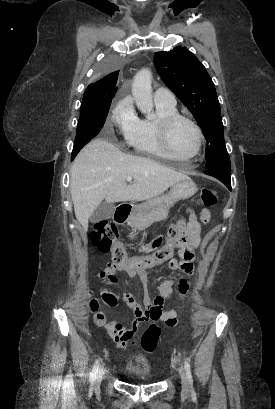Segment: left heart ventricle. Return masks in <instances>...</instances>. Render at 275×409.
Segmentation results:
<instances>
[{
    "label": "left heart ventricle",
    "mask_w": 275,
    "mask_h": 409,
    "mask_svg": "<svg viewBox=\"0 0 275 409\" xmlns=\"http://www.w3.org/2000/svg\"><path fill=\"white\" fill-rule=\"evenodd\" d=\"M171 144L173 151L180 157H188L196 148V137L191 126L185 122L177 124L172 132Z\"/></svg>",
    "instance_id": "b2bd125f"
}]
</instances>
